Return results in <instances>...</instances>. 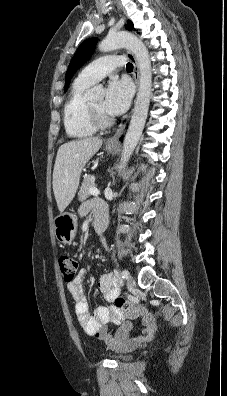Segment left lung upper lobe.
<instances>
[{
  "instance_id": "obj_1",
  "label": "left lung upper lobe",
  "mask_w": 227,
  "mask_h": 396,
  "mask_svg": "<svg viewBox=\"0 0 227 396\" xmlns=\"http://www.w3.org/2000/svg\"><path fill=\"white\" fill-rule=\"evenodd\" d=\"M126 29L133 30L134 26L133 23L128 20ZM97 43V38H91L85 40L78 48L76 54L72 58L67 73H66V80H65V92L68 89L70 84L71 78L74 73L91 57L95 50V46Z\"/></svg>"
}]
</instances>
